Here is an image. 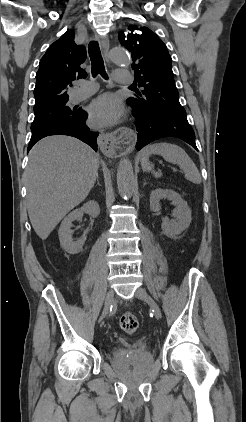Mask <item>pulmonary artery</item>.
<instances>
[{
  "label": "pulmonary artery",
  "mask_w": 246,
  "mask_h": 422,
  "mask_svg": "<svg viewBox=\"0 0 246 422\" xmlns=\"http://www.w3.org/2000/svg\"><path fill=\"white\" fill-rule=\"evenodd\" d=\"M114 79L119 84H131L134 80L133 75L124 69H118L114 73ZM97 90V85L92 81H83L79 83L78 88L72 93L71 101L79 102L91 96Z\"/></svg>",
  "instance_id": "obj_1"
}]
</instances>
